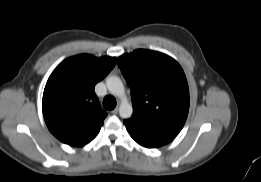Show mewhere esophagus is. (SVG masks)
Returning <instances> with one entry per match:
<instances>
[{
  "label": "esophagus",
  "instance_id": "1",
  "mask_svg": "<svg viewBox=\"0 0 261 182\" xmlns=\"http://www.w3.org/2000/svg\"><path fill=\"white\" fill-rule=\"evenodd\" d=\"M112 114L116 115L118 113V108H115L111 111Z\"/></svg>",
  "mask_w": 261,
  "mask_h": 182
}]
</instances>
